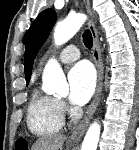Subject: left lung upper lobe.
I'll return each instance as SVG.
<instances>
[{
	"instance_id": "left-lung-upper-lobe-1",
	"label": "left lung upper lobe",
	"mask_w": 139,
	"mask_h": 150,
	"mask_svg": "<svg viewBox=\"0 0 139 150\" xmlns=\"http://www.w3.org/2000/svg\"><path fill=\"white\" fill-rule=\"evenodd\" d=\"M56 19V12L53 9H46L38 15L27 32L24 57L27 84L31 77L34 58L44 41L47 39Z\"/></svg>"
}]
</instances>
